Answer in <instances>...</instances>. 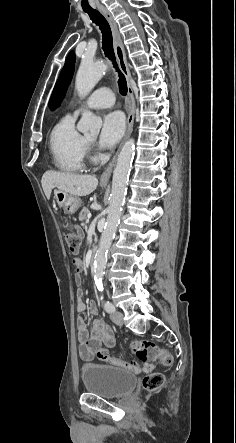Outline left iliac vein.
<instances>
[{"mask_svg":"<svg viewBox=\"0 0 236 443\" xmlns=\"http://www.w3.org/2000/svg\"><path fill=\"white\" fill-rule=\"evenodd\" d=\"M111 320L117 324L118 326H122L123 324V314L120 311H114L110 315Z\"/></svg>","mask_w":236,"mask_h":443,"instance_id":"obj_1","label":"left iliac vein"}]
</instances>
